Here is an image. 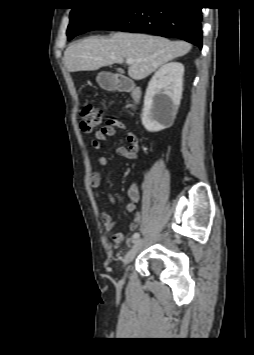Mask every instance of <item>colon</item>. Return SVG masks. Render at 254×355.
Segmentation results:
<instances>
[{
	"label": "colon",
	"instance_id": "obj_1",
	"mask_svg": "<svg viewBox=\"0 0 254 355\" xmlns=\"http://www.w3.org/2000/svg\"><path fill=\"white\" fill-rule=\"evenodd\" d=\"M102 112L93 104H87L80 111V126L83 131L90 132L101 124Z\"/></svg>",
	"mask_w": 254,
	"mask_h": 355
}]
</instances>
